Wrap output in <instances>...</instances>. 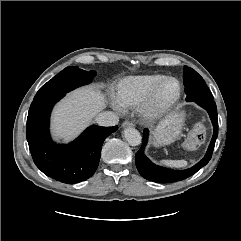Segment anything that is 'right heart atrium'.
Returning <instances> with one entry per match:
<instances>
[{
    "instance_id": "obj_1",
    "label": "right heart atrium",
    "mask_w": 241,
    "mask_h": 241,
    "mask_svg": "<svg viewBox=\"0 0 241 241\" xmlns=\"http://www.w3.org/2000/svg\"><path fill=\"white\" fill-rule=\"evenodd\" d=\"M113 106H114V108H116L117 110H120V106H119L116 102H113Z\"/></svg>"
}]
</instances>
